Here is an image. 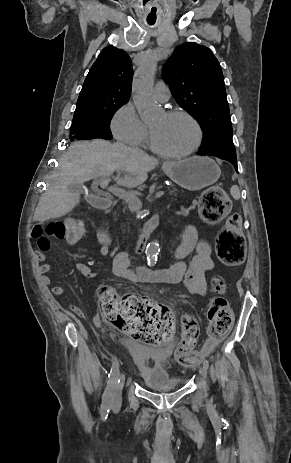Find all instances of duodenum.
I'll return each instance as SVG.
<instances>
[{
	"label": "duodenum",
	"instance_id": "duodenum-1",
	"mask_svg": "<svg viewBox=\"0 0 291 463\" xmlns=\"http://www.w3.org/2000/svg\"><path fill=\"white\" fill-rule=\"evenodd\" d=\"M89 200L95 207L105 209L110 205L111 197L107 194L95 193L90 196ZM156 223V218H151L143 226L142 236L136 245V250L138 252H142L144 250L146 245V236L155 229ZM145 271L150 272L153 270L146 268Z\"/></svg>",
	"mask_w": 291,
	"mask_h": 463
}]
</instances>
